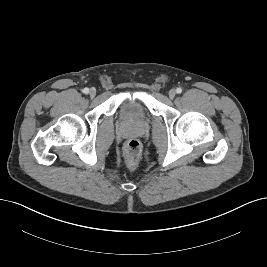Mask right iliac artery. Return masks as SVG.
I'll return each instance as SVG.
<instances>
[{
  "label": "right iliac artery",
  "mask_w": 267,
  "mask_h": 267,
  "mask_svg": "<svg viewBox=\"0 0 267 267\" xmlns=\"http://www.w3.org/2000/svg\"><path fill=\"white\" fill-rule=\"evenodd\" d=\"M83 93L88 94L89 93V89L88 88H84L83 89Z\"/></svg>",
  "instance_id": "82829eb1"
}]
</instances>
